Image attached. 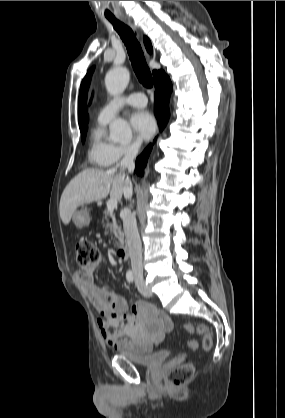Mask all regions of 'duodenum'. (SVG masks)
Masks as SVG:
<instances>
[{
    "mask_svg": "<svg viewBox=\"0 0 285 418\" xmlns=\"http://www.w3.org/2000/svg\"><path fill=\"white\" fill-rule=\"evenodd\" d=\"M117 253H118V256L121 259H128L129 258V253H130L129 247L126 246V245L121 246V247L118 248Z\"/></svg>",
    "mask_w": 285,
    "mask_h": 418,
    "instance_id": "1",
    "label": "duodenum"
}]
</instances>
